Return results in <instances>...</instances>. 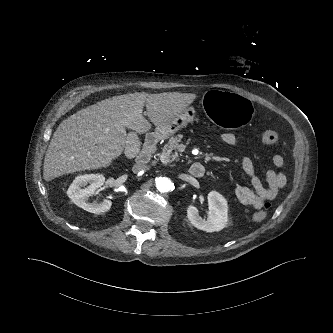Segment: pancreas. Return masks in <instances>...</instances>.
Returning a JSON list of instances; mask_svg holds the SVG:
<instances>
[{"label":"pancreas","instance_id":"cf45deb5","mask_svg":"<svg viewBox=\"0 0 333 333\" xmlns=\"http://www.w3.org/2000/svg\"><path fill=\"white\" fill-rule=\"evenodd\" d=\"M180 141L181 138L179 136L171 137L168 143L164 145L162 152L158 154L163 164H169L172 161L177 160L178 154L177 152L173 151L178 148Z\"/></svg>","mask_w":333,"mask_h":333}]
</instances>
